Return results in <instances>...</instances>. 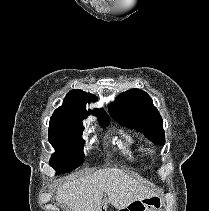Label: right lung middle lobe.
I'll use <instances>...</instances> for the list:
<instances>
[{
	"mask_svg": "<svg viewBox=\"0 0 209 211\" xmlns=\"http://www.w3.org/2000/svg\"><path fill=\"white\" fill-rule=\"evenodd\" d=\"M109 119H101L100 124L106 127ZM82 124L68 127H49V142L56 152L50 159V166L56 170V174L70 172L81 166L84 162L83 146L81 137Z\"/></svg>",
	"mask_w": 209,
	"mask_h": 211,
	"instance_id": "1",
	"label": "right lung middle lobe"
}]
</instances>
